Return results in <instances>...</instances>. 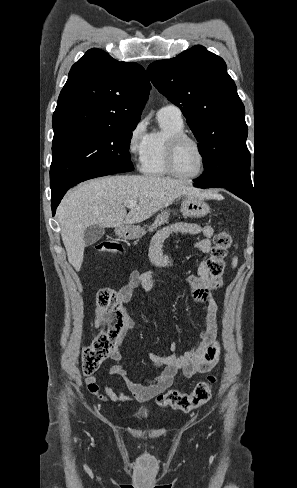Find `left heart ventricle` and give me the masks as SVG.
Here are the masks:
<instances>
[{"label": "left heart ventricle", "instance_id": "b2bd125f", "mask_svg": "<svg viewBox=\"0 0 297 488\" xmlns=\"http://www.w3.org/2000/svg\"><path fill=\"white\" fill-rule=\"evenodd\" d=\"M200 154L192 142H184L176 155V168L184 175L194 174L200 167Z\"/></svg>", "mask_w": 297, "mask_h": 488}]
</instances>
